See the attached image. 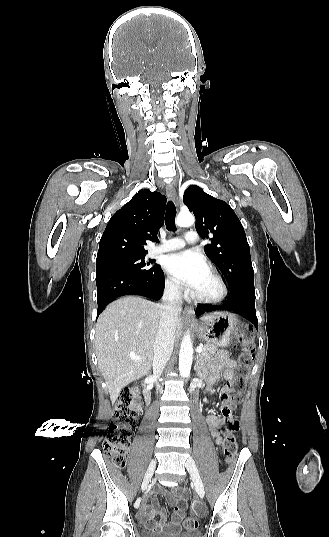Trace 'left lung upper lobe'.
Masks as SVG:
<instances>
[{
	"label": "left lung upper lobe",
	"instance_id": "obj_1",
	"mask_svg": "<svg viewBox=\"0 0 329 537\" xmlns=\"http://www.w3.org/2000/svg\"><path fill=\"white\" fill-rule=\"evenodd\" d=\"M184 203L196 217L198 234L211 240V244L204 247L205 253L226 279L230 296L254 293L249 244L233 209L196 185L189 186L184 192Z\"/></svg>",
	"mask_w": 329,
	"mask_h": 537
}]
</instances>
